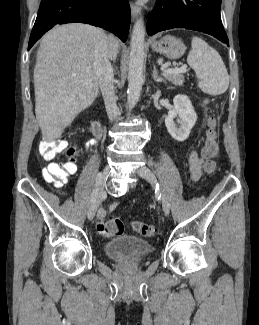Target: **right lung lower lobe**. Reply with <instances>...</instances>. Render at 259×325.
I'll list each match as a JSON object with an SVG mask.
<instances>
[{
    "mask_svg": "<svg viewBox=\"0 0 259 325\" xmlns=\"http://www.w3.org/2000/svg\"><path fill=\"white\" fill-rule=\"evenodd\" d=\"M87 23L104 28L126 41L130 6L126 0H42L28 50L56 24Z\"/></svg>",
    "mask_w": 259,
    "mask_h": 325,
    "instance_id": "98d812e1",
    "label": "right lung lower lobe"
}]
</instances>
